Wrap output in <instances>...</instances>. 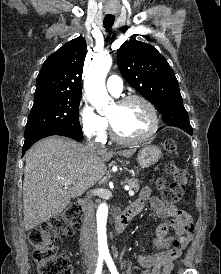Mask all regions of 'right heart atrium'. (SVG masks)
<instances>
[{
    "mask_svg": "<svg viewBox=\"0 0 221 274\" xmlns=\"http://www.w3.org/2000/svg\"><path fill=\"white\" fill-rule=\"evenodd\" d=\"M78 115L81 129L88 139L97 142L105 139L107 120L99 115L86 100L80 102Z\"/></svg>",
    "mask_w": 221,
    "mask_h": 274,
    "instance_id": "1",
    "label": "right heart atrium"
}]
</instances>
